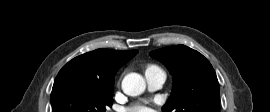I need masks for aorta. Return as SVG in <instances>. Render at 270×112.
Wrapping results in <instances>:
<instances>
[{
  "label": "aorta",
  "mask_w": 270,
  "mask_h": 112,
  "mask_svg": "<svg viewBox=\"0 0 270 112\" xmlns=\"http://www.w3.org/2000/svg\"><path fill=\"white\" fill-rule=\"evenodd\" d=\"M146 83L142 75L138 73L127 74L122 81V90L130 96H138L145 91Z\"/></svg>",
  "instance_id": "1"
}]
</instances>
